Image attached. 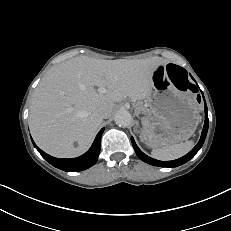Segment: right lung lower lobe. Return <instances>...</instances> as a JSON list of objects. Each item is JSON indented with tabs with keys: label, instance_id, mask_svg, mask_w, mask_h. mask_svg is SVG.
I'll use <instances>...</instances> for the list:
<instances>
[{
	"label": "right lung lower lobe",
	"instance_id": "1",
	"mask_svg": "<svg viewBox=\"0 0 231 231\" xmlns=\"http://www.w3.org/2000/svg\"><path fill=\"white\" fill-rule=\"evenodd\" d=\"M103 131L104 128H102L100 132L97 134L91 148L85 154L81 155L80 157L72 158V159H58L52 157L46 154L40 148H38L36 144L33 142V140L32 142L35 148L42 155V157L50 164H52L54 167L67 172H77V171L88 169L89 167L93 166L97 162L100 153V141Z\"/></svg>",
	"mask_w": 231,
	"mask_h": 231
}]
</instances>
